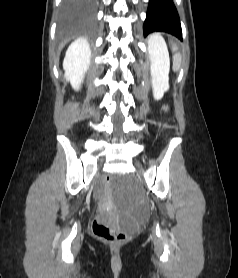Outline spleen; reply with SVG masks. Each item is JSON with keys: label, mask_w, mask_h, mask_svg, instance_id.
Instances as JSON below:
<instances>
[{"label": "spleen", "mask_w": 238, "mask_h": 278, "mask_svg": "<svg viewBox=\"0 0 238 278\" xmlns=\"http://www.w3.org/2000/svg\"><path fill=\"white\" fill-rule=\"evenodd\" d=\"M173 51H177L176 45H173ZM181 64V55L179 53H175L173 58V69L174 71H178Z\"/></svg>", "instance_id": "spleen-1"}]
</instances>
